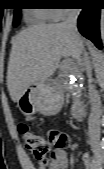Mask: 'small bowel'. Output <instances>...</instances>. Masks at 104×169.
Wrapping results in <instances>:
<instances>
[{"label": "small bowel", "instance_id": "obj_1", "mask_svg": "<svg viewBox=\"0 0 104 169\" xmlns=\"http://www.w3.org/2000/svg\"><path fill=\"white\" fill-rule=\"evenodd\" d=\"M81 161L86 169H92L93 163L89 154L84 153L81 156ZM68 153L64 148L57 147L51 153L47 165L39 164L38 169H67Z\"/></svg>", "mask_w": 104, "mask_h": 169}]
</instances>
